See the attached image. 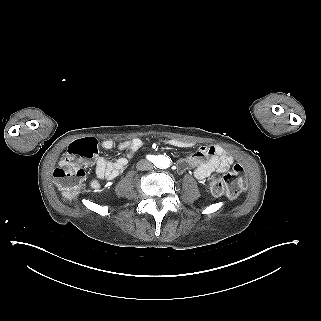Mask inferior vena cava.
<instances>
[{
    "label": "inferior vena cava",
    "instance_id": "1",
    "mask_svg": "<svg viewBox=\"0 0 321 321\" xmlns=\"http://www.w3.org/2000/svg\"><path fill=\"white\" fill-rule=\"evenodd\" d=\"M137 170L138 171H150L151 170V163L150 162H145L144 160H141V161H139L138 163H137Z\"/></svg>",
    "mask_w": 321,
    "mask_h": 321
}]
</instances>
